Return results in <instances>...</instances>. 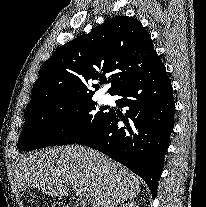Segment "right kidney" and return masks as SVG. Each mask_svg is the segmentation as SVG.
Returning a JSON list of instances; mask_svg holds the SVG:
<instances>
[{"label": "right kidney", "mask_w": 206, "mask_h": 207, "mask_svg": "<svg viewBox=\"0 0 206 207\" xmlns=\"http://www.w3.org/2000/svg\"><path fill=\"white\" fill-rule=\"evenodd\" d=\"M120 207H136V205L134 204V202H131V203L121 204Z\"/></svg>", "instance_id": "obj_1"}]
</instances>
